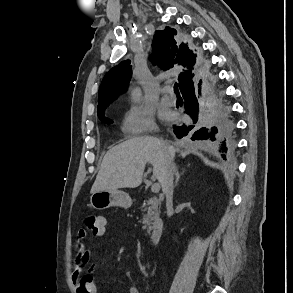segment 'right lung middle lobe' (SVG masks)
Returning a JSON list of instances; mask_svg holds the SVG:
<instances>
[{
    "label": "right lung middle lobe",
    "mask_w": 293,
    "mask_h": 293,
    "mask_svg": "<svg viewBox=\"0 0 293 293\" xmlns=\"http://www.w3.org/2000/svg\"><path fill=\"white\" fill-rule=\"evenodd\" d=\"M98 117H99V119H100L101 121H103L104 123L110 124V123L113 122L112 120L106 118L105 116H98Z\"/></svg>",
    "instance_id": "obj_1"
}]
</instances>
